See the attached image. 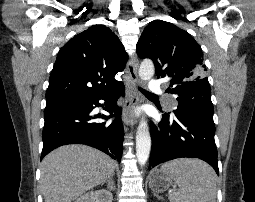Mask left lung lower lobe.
Returning a JSON list of instances; mask_svg holds the SVG:
<instances>
[{"label": "left lung lower lobe", "mask_w": 255, "mask_h": 202, "mask_svg": "<svg viewBox=\"0 0 255 202\" xmlns=\"http://www.w3.org/2000/svg\"><path fill=\"white\" fill-rule=\"evenodd\" d=\"M162 117L159 129L151 123L149 169L172 159L190 157L206 161L219 174L213 118L197 113H178L175 119L164 113Z\"/></svg>", "instance_id": "left-lung-lower-lobe-1"}]
</instances>
